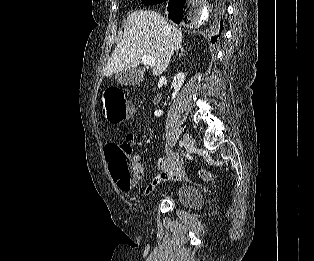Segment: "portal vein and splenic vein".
Returning a JSON list of instances; mask_svg holds the SVG:
<instances>
[{"label":"portal vein and splenic vein","mask_w":314,"mask_h":261,"mask_svg":"<svg viewBox=\"0 0 314 261\" xmlns=\"http://www.w3.org/2000/svg\"><path fill=\"white\" fill-rule=\"evenodd\" d=\"M142 63L145 66H150V67H154L156 65V60L154 57L150 56V55H144L141 59Z\"/></svg>","instance_id":"18ae733b"}]
</instances>
